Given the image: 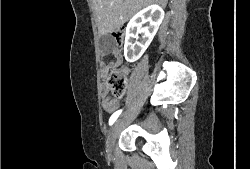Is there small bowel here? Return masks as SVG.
Wrapping results in <instances>:
<instances>
[{
	"instance_id": "1",
	"label": "small bowel",
	"mask_w": 250,
	"mask_h": 169,
	"mask_svg": "<svg viewBox=\"0 0 250 169\" xmlns=\"http://www.w3.org/2000/svg\"><path fill=\"white\" fill-rule=\"evenodd\" d=\"M111 52L114 56V61L103 64L102 75L104 78L107 77L111 69H113L115 66L119 65L122 62L121 52L117 48H113ZM102 99L103 108L108 113L115 111L119 107L120 101L116 98H112L109 95V85L106 82L102 85Z\"/></svg>"
}]
</instances>
